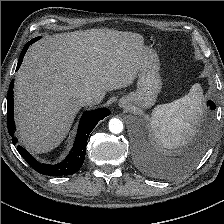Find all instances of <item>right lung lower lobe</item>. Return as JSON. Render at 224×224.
I'll list each match as a JSON object with an SVG mask.
<instances>
[{"label": "right lung lower lobe", "instance_id": "1", "mask_svg": "<svg viewBox=\"0 0 224 224\" xmlns=\"http://www.w3.org/2000/svg\"><path fill=\"white\" fill-rule=\"evenodd\" d=\"M38 38H34L26 43L23 48L16 70L20 67L24 54L26 53L28 47L36 42ZM13 88L14 81L12 80L9 85V90L7 94V125L10 136H12V142L17 143V139L14 137L15 124H14V99H13ZM110 115L108 109H96L93 111H87L83 114L80 119L77 136L71 149L69 155L59 164L50 165L39 163L34 157H32L26 149L22 146H17V151L26 160V162L37 172L48 176H60V175H70L76 173L83 165L85 153H86V143L89 134L97 125L98 121L104 119Z\"/></svg>", "mask_w": 224, "mask_h": 224}]
</instances>
